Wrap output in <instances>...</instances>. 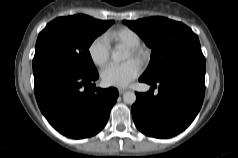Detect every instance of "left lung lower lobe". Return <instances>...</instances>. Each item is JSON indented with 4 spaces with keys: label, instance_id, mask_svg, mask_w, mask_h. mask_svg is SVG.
Listing matches in <instances>:
<instances>
[{
    "label": "left lung lower lobe",
    "instance_id": "left-lung-lower-lobe-1",
    "mask_svg": "<svg viewBox=\"0 0 238 158\" xmlns=\"http://www.w3.org/2000/svg\"><path fill=\"white\" fill-rule=\"evenodd\" d=\"M205 61L169 69L155 81L150 92L136 93L132 116L136 127L155 138H170L185 130L198 114L205 95ZM158 87V95L153 88Z\"/></svg>",
    "mask_w": 238,
    "mask_h": 158
}]
</instances>
